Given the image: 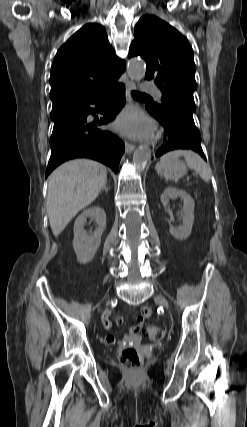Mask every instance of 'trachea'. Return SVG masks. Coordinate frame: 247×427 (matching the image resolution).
<instances>
[{"instance_id": "obj_1", "label": "trachea", "mask_w": 247, "mask_h": 427, "mask_svg": "<svg viewBox=\"0 0 247 427\" xmlns=\"http://www.w3.org/2000/svg\"><path fill=\"white\" fill-rule=\"evenodd\" d=\"M132 96L133 97H141V96H147V95L143 94V93H140V92L133 91L132 92Z\"/></svg>"}]
</instances>
